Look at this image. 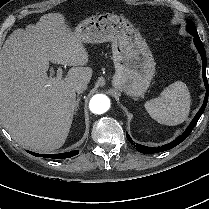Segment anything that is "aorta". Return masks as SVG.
<instances>
[{"label": "aorta", "instance_id": "aorta-1", "mask_svg": "<svg viewBox=\"0 0 209 209\" xmlns=\"http://www.w3.org/2000/svg\"><path fill=\"white\" fill-rule=\"evenodd\" d=\"M89 108L94 114H103L110 108V99L104 94H96L90 99Z\"/></svg>", "mask_w": 209, "mask_h": 209}]
</instances>
